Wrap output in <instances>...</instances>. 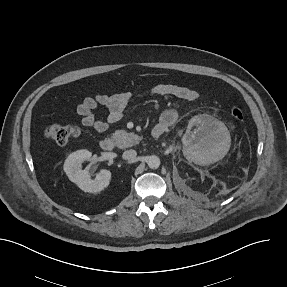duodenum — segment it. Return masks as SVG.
Instances as JSON below:
<instances>
[{
  "instance_id": "1",
  "label": "duodenum",
  "mask_w": 287,
  "mask_h": 287,
  "mask_svg": "<svg viewBox=\"0 0 287 287\" xmlns=\"http://www.w3.org/2000/svg\"><path fill=\"white\" fill-rule=\"evenodd\" d=\"M164 133L162 125L156 126L152 129V137L158 138ZM100 147L103 151L110 152L115 148V141L110 137H105L100 142Z\"/></svg>"
}]
</instances>
